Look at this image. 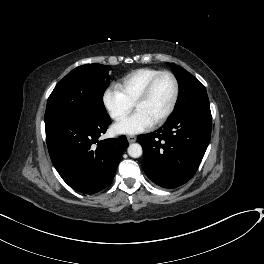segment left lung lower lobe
Masks as SVG:
<instances>
[{
	"mask_svg": "<svg viewBox=\"0 0 264 264\" xmlns=\"http://www.w3.org/2000/svg\"><path fill=\"white\" fill-rule=\"evenodd\" d=\"M211 123L209 100H197L173 114L157 131L139 135L147 177L164 188L189 181L208 147Z\"/></svg>",
	"mask_w": 264,
	"mask_h": 264,
	"instance_id": "0a47b994",
	"label": "left lung lower lobe"
}]
</instances>
